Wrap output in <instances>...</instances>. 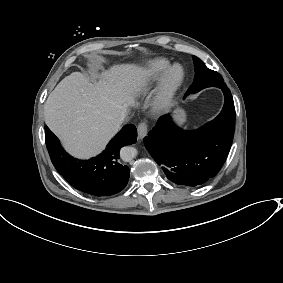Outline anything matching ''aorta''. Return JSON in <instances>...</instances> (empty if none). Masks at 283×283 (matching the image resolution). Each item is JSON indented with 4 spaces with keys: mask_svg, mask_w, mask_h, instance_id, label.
Instances as JSON below:
<instances>
[{
    "mask_svg": "<svg viewBox=\"0 0 283 283\" xmlns=\"http://www.w3.org/2000/svg\"><path fill=\"white\" fill-rule=\"evenodd\" d=\"M137 155V149L133 146H125L120 151V157L125 162H130Z\"/></svg>",
    "mask_w": 283,
    "mask_h": 283,
    "instance_id": "aorta-1",
    "label": "aorta"
}]
</instances>
